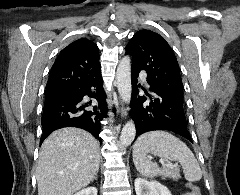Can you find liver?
Wrapping results in <instances>:
<instances>
[{"label": "liver", "mask_w": 240, "mask_h": 195, "mask_svg": "<svg viewBox=\"0 0 240 195\" xmlns=\"http://www.w3.org/2000/svg\"><path fill=\"white\" fill-rule=\"evenodd\" d=\"M99 143L80 127H62L43 141L36 169L38 195H71L99 169Z\"/></svg>", "instance_id": "6515ba94"}]
</instances>
